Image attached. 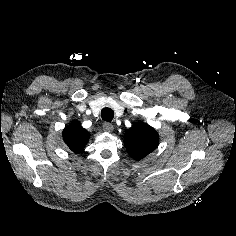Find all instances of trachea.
<instances>
[{"instance_id": "1", "label": "trachea", "mask_w": 236, "mask_h": 236, "mask_svg": "<svg viewBox=\"0 0 236 236\" xmlns=\"http://www.w3.org/2000/svg\"><path fill=\"white\" fill-rule=\"evenodd\" d=\"M101 117L104 121L111 122L114 117V111L111 108H103Z\"/></svg>"}]
</instances>
